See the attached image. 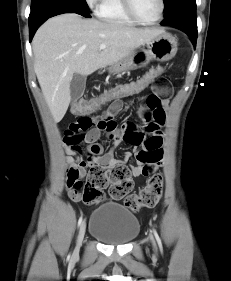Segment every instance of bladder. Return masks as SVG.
<instances>
[{
  "mask_svg": "<svg viewBox=\"0 0 231 281\" xmlns=\"http://www.w3.org/2000/svg\"><path fill=\"white\" fill-rule=\"evenodd\" d=\"M140 231L137 217L121 204L107 202L96 208L90 218L89 233L108 245H124Z\"/></svg>",
  "mask_w": 231,
  "mask_h": 281,
  "instance_id": "1",
  "label": "bladder"
}]
</instances>
